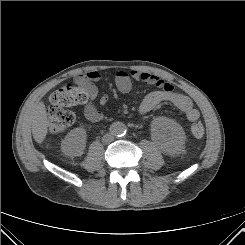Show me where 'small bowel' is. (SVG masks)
<instances>
[{
    "instance_id": "1",
    "label": "small bowel",
    "mask_w": 245,
    "mask_h": 245,
    "mask_svg": "<svg viewBox=\"0 0 245 245\" xmlns=\"http://www.w3.org/2000/svg\"><path fill=\"white\" fill-rule=\"evenodd\" d=\"M76 82L86 87L90 92V98L84 103L83 113L87 120L98 122L103 119V114L98 110L95 102L97 96L96 82L100 80L97 71H90L76 77ZM133 81L153 85L158 89L148 93L138 106L139 115L143 116L163 102H169L181 110L189 122H196L200 118L199 111L194 107L192 100L176 91L170 82L157 75L147 72L132 70L130 72L120 70L115 75V84L119 92L128 93L132 89ZM100 105L108 103V96L104 95L99 100Z\"/></svg>"
}]
</instances>
